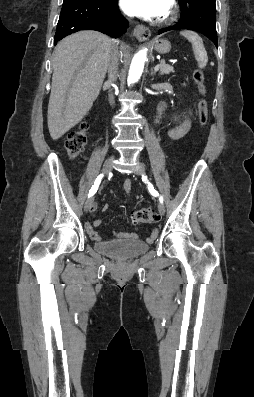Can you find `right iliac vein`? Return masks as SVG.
I'll use <instances>...</instances> for the list:
<instances>
[{"mask_svg": "<svg viewBox=\"0 0 254 397\" xmlns=\"http://www.w3.org/2000/svg\"><path fill=\"white\" fill-rule=\"evenodd\" d=\"M112 164H113V157H111L105 161V163L103 165V169H102V171L105 175H107L111 171ZM93 201H94L93 196H91L89 199L86 200L85 205H84V210L86 212L91 208Z\"/></svg>", "mask_w": 254, "mask_h": 397, "instance_id": "1", "label": "right iliac vein"}]
</instances>
